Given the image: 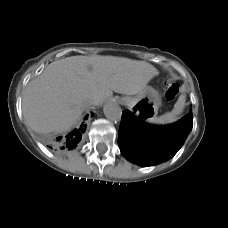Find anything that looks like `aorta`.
Masks as SVG:
<instances>
[{
  "mask_svg": "<svg viewBox=\"0 0 228 228\" xmlns=\"http://www.w3.org/2000/svg\"><path fill=\"white\" fill-rule=\"evenodd\" d=\"M104 114L107 119L112 121H119L122 117V109L117 102H108L103 108Z\"/></svg>",
  "mask_w": 228,
  "mask_h": 228,
  "instance_id": "762f6f07",
  "label": "aorta"
}]
</instances>
